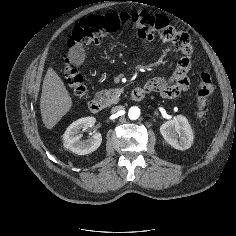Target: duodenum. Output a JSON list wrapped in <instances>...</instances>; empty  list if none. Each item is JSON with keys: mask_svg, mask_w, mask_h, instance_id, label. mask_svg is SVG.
Wrapping results in <instances>:
<instances>
[{"mask_svg": "<svg viewBox=\"0 0 236 236\" xmlns=\"http://www.w3.org/2000/svg\"><path fill=\"white\" fill-rule=\"evenodd\" d=\"M145 95V90L142 87H136L131 92V97L135 101L143 99ZM88 108L92 113H100L104 109V103L98 98H93L88 102Z\"/></svg>", "mask_w": 236, "mask_h": 236, "instance_id": "duodenum-1", "label": "duodenum"}]
</instances>
